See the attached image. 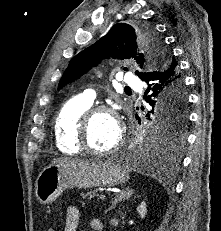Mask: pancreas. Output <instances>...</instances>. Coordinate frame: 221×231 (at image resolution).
I'll return each instance as SVG.
<instances>
[{
    "mask_svg": "<svg viewBox=\"0 0 221 231\" xmlns=\"http://www.w3.org/2000/svg\"><path fill=\"white\" fill-rule=\"evenodd\" d=\"M82 198H88V199H91V198H94L95 196V193L93 191H89V192H86L85 194H81Z\"/></svg>",
    "mask_w": 221,
    "mask_h": 231,
    "instance_id": "cf45deb5",
    "label": "pancreas"
}]
</instances>
